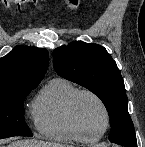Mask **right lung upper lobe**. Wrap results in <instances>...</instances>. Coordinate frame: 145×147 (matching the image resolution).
Returning a JSON list of instances; mask_svg holds the SVG:
<instances>
[{"label":"right lung upper lobe","mask_w":145,"mask_h":147,"mask_svg":"<svg viewBox=\"0 0 145 147\" xmlns=\"http://www.w3.org/2000/svg\"><path fill=\"white\" fill-rule=\"evenodd\" d=\"M48 51L16 46L0 59V92L24 86H37L48 67Z\"/></svg>","instance_id":"obj_1"}]
</instances>
